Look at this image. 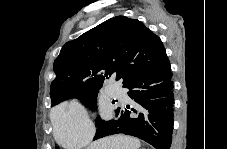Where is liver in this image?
<instances>
[{"label": "liver", "mask_w": 227, "mask_h": 149, "mask_svg": "<svg viewBox=\"0 0 227 149\" xmlns=\"http://www.w3.org/2000/svg\"><path fill=\"white\" fill-rule=\"evenodd\" d=\"M140 141L131 136L113 135L93 142L87 149H139Z\"/></svg>", "instance_id": "1"}]
</instances>
